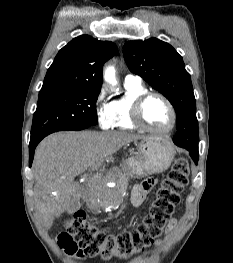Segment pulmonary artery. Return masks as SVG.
<instances>
[{"instance_id": "pulmonary-artery-1", "label": "pulmonary artery", "mask_w": 233, "mask_h": 263, "mask_svg": "<svg viewBox=\"0 0 233 263\" xmlns=\"http://www.w3.org/2000/svg\"><path fill=\"white\" fill-rule=\"evenodd\" d=\"M125 81H128V82H141L140 78L136 75H132V74H128L126 77H125Z\"/></svg>"}]
</instances>
